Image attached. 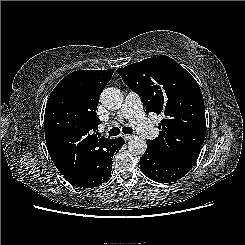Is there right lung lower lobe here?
Segmentation results:
<instances>
[{"instance_id": "98d812e1", "label": "right lung lower lobe", "mask_w": 245, "mask_h": 245, "mask_svg": "<svg viewBox=\"0 0 245 245\" xmlns=\"http://www.w3.org/2000/svg\"><path fill=\"white\" fill-rule=\"evenodd\" d=\"M123 144L124 139L122 137L99 144L88 153L81 168L68 163L54 164L72 185L82 188L96 187L109 179L112 157L115 152L117 153L122 148Z\"/></svg>"}]
</instances>
